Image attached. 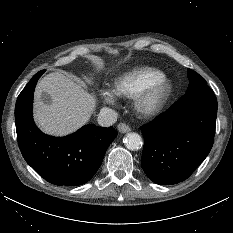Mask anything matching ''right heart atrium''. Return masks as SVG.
Returning a JSON list of instances; mask_svg holds the SVG:
<instances>
[{
	"mask_svg": "<svg viewBox=\"0 0 233 233\" xmlns=\"http://www.w3.org/2000/svg\"><path fill=\"white\" fill-rule=\"evenodd\" d=\"M117 96L118 95L116 94L114 89L104 88L101 91V98L107 104H111V105L115 104L117 100Z\"/></svg>",
	"mask_w": 233,
	"mask_h": 233,
	"instance_id": "right-heart-atrium-1",
	"label": "right heart atrium"
}]
</instances>
